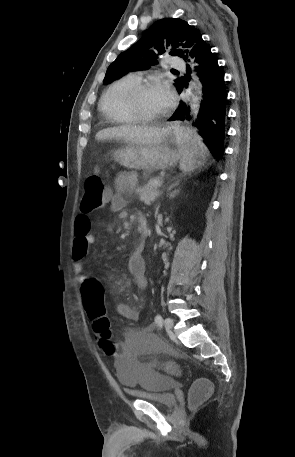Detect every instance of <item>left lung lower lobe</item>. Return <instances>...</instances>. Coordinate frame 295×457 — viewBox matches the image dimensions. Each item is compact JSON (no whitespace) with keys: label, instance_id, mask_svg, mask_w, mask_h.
I'll return each instance as SVG.
<instances>
[{"label":"left lung lower lobe","instance_id":"left-lung-lower-lobe-1","mask_svg":"<svg viewBox=\"0 0 295 457\" xmlns=\"http://www.w3.org/2000/svg\"><path fill=\"white\" fill-rule=\"evenodd\" d=\"M190 56L198 63V66H195V71L198 73L203 86V99L198 119L194 123L198 128L197 135L209 148L212 156L215 159H221L224 151L227 104L224 77L217 59L202 38L192 47ZM187 70L189 74L191 70L189 65H187ZM184 86H187V81L181 83L178 89L179 93H181ZM184 119H190V108L184 102H181L169 121Z\"/></svg>","mask_w":295,"mask_h":457}]
</instances>
